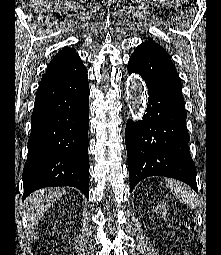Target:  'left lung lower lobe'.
<instances>
[{
  "mask_svg": "<svg viewBox=\"0 0 221 255\" xmlns=\"http://www.w3.org/2000/svg\"><path fill=\"white\" fill-rule=\"evenodd\" d=\"M128 72L145 80L149 94L142 120H128L126 125L130 191L148 176H165L183 181L197 192L185 102L176 69L163 55L138 46L129 59Z\"/></svg>",
  "mask_w": 221,
  "mask_h": 255,
  "instance_id": "1",
  "label": "left lung lower lobe"
}]
</instances>
